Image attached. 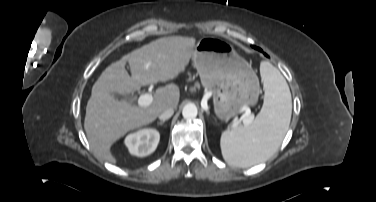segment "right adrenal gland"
<instances>
[{
    "label": "right adrenal gland",
    "mask_w": 376,
    "mask_h": 202,
    "mask_svg": "<svg viewBox=\"0 0 376 202\" xmlns=\"http://www.w3.org/2000/svg\"><path fill=\"white\" fill-rule=\"evenodd\" d=\"M165 123V121H160L158 122V125H163Z\"/></svg>",
    "instance_id": "1"
}]
</instances>
